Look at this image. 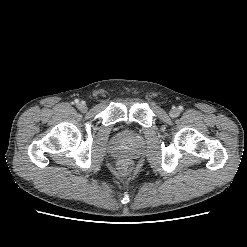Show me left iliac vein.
<instances>
[{
	"label": "left iliac vein",
	"instance_id": "obj_1",
	"mask_svg": "<svg viewBox=\"0 0 247 247\" xmlns=\"http://www.w3.org/2000/svg\"><path fill=\"white\" fill-rule=\"evenodd\" d=\"M171 117H177L179 115V110L177 108H173L169 112Z\"/></svg>",
	"mask_w": 247,
	"mask_h": 247
}]
</instances>
